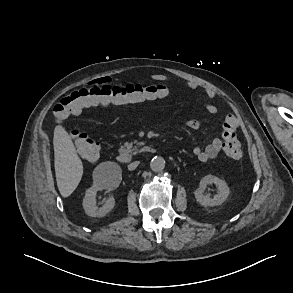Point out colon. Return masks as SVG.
<instances>
[{"instance_id":"colon-1","label":"colon","mask_w":293,"mask_h":293,"mask_svg":"<svg viewBox=\"0 0 293 293\" xmlns=\"http://www.w3.org/2000/svg\"><path fill=\"white\" fill-rule=\"evenodd\" d=\"M167 91L159 84L114 85L107 80H98L64 95L53 108L56 120H62L80 113L93 105L123 106L127 104L162 98ZM238 120L228 115L223 122V149L227 156L238 159L242 147L237 138ZM77 151L88 162H96L100 157L98 141L90 134L78 129L70 132Z\"/></svg>"}]
</instances>
